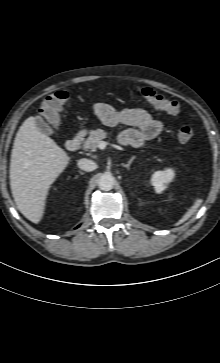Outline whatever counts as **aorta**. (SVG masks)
I'll return each mask as SVG.
<instances>
[{"label":"aorta","instance_id":"762f6f07","mask_svg":"<svg viewBox=\"0 0 220 363\" xmlns=\"http://www.w3.org/2000/svg\"><path fill=\"white\" fill-rule=\"evenodd\" d=\"M115 184V178L110 173H104L98 179V186L103 191H109Z\"/></svg>","mask_w":220,"mask_h":363}]
</instances>
